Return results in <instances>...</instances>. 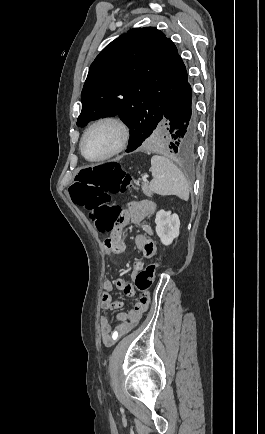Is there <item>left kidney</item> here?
<instances>
[{"mask_svg": "<svg viewBox=\"0 0 265 434\" xmlns=\"http://www.w3.org/2000/svg\"><path fill=\"white\" fill-rule=\"evenodd\" d=\"M156 234L164 246H170L174 238L179 236L180 220L177 214L160 210L155 218Z\"/></svg>", "mask_w": 265, "mask_h": 434, "instance_id": "1", "label": "left kidney"}]
</instances>
